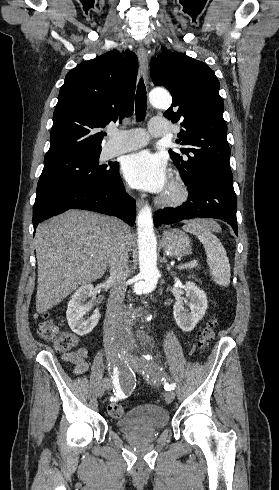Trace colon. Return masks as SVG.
<instances>
[{
  "label": "colon",
  "mask_w": 279,
  "mask_h": 490,
  "mask_svg": "<svg viewBox=\"0 0 279 490\" xmlns=\"http://www.w3.org/2000/svg\"><path fill=\"white\" fill-rule=\"evenodd\" d=\"M218 327V320L212 319L203 328L197 338L196 346L200 354H204L210 342L215 336ZM45 341L51 343L57 351L70 353V347H77L78 340L71 334L63 332L48 316L39 324L37 329ZM125 408L121 404H111L108 407V413L112 417H121L124 414Z\"/></svg>",
  "instance_id": "obj_1"
}]
</instances>
